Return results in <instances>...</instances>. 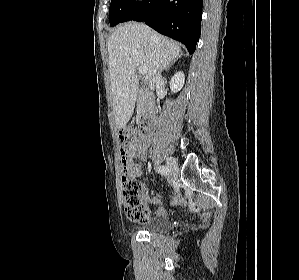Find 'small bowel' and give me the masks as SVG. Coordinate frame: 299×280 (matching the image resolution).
Returning a JSON list of instances; mask_svg holds the SVG:
<instances>
[{
  "label": "small bowel",
  "instance_id": "c3829d8e",
  "mask_svg": "<svg viewBox=\"0 0 299 280\" xmlns=\"http://www.w3.org/2000/svg\"><path fill=\"white\" fill-rule=\"evenodd\" d=\"M149 147V139L145 136H138L134 141L130 142L126 146L127 159L129 162L130 172L133 176H140L142 173L141 167L139 165H132L130 163L131 159L145 160L147 157V151ZM141 199L143 203H158V199H151L145 191H142ZM183 203L182 198L175 197L171 204L177 205ZM158 213L163 215L167 213L165 207H159Z\"/></svg>",
  "mask_w": 299,
  "mask_h": 280
}]
</instances>
